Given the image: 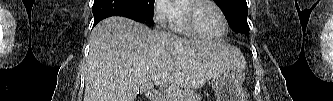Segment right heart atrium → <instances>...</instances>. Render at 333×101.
<instances>
[{
    "label": "right heart atrium",
    "instance_id": "right-heart-atrium-1",
    "mask_svg": "<svg viewBox=\"0 0 333 101\" xmlns=\"http://www.w3.org/2000/svg\"><path fill=\"white\" fill-rule=\"evenodd\" d=\"M153 19L160 27H167L172 24L175 16V6L169 0H155L153 9Z\"/></svg>",
    "mask_w": 333,
    "mask_h": 101
}]
</instances>
